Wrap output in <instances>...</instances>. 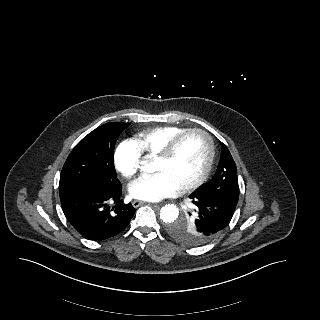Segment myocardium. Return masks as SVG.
Here are the masks:
<instances>
[{
  "label": "myocardium",
  "mask_w": 320,
  "mask_h": 320,
  "mask_svg": "<svg viewBox=\"0 0 320 320\" xmlns=\"http://www.w3.org/2000/svg\"><path fill=\"white\" fill-rule=\"evenodd\" d=\"M191 134H200L205 138V140L207 142V150H208L207 160H206V164H205L204 169L202 170L201 174L197 178L192 180L191 182L181 186L179 188V190L181 192H187V191H190V190H193V189L199 187L208 178V176L212 170L214 158H215V146H214V141H213L212 136L204 129L188 128V129L184 130L183 132H181L180 134H178L177 136H175L166 145V147L163 149V151L155 157L156 160H160V161L170 160L174 156L181 141L185 137H187L188 135H191Z\"/></svg>",
  "instance_id": "f54148a6"
}]
</instances>
